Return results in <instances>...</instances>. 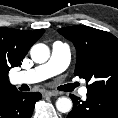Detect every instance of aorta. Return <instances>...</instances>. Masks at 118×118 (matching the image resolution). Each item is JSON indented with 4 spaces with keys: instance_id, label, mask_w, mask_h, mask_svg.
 <instances>
[{
    "instance_id": "obj_1",
    "label": "aorta",
    "mask_w": 118,
    "mask_h": 118,
    "mask_svg": "<svg viewBox=\"0 0 118 118\" xmlns=\"http://www.w3.org/2000/svg\"><path fill=\"white\" fill-rule=\"evenodd\" d=\"M31 59L35 63H45L50 58V50L47 45L38 43L32 46L30 51ZM73 106L72 100L68 97H60L56 101V108L61 113H68Z\"/></svg>"
}]
</instances>
